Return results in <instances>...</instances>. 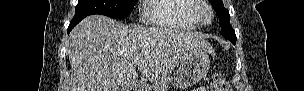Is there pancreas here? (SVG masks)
<instances>
[{"instance_id":"pancreas-1","label":"pancreas","mask_w":304,"mask_h":91,"mask_svg":"<svg viewBox=\"0 0 304 91\" xmlns=\"http://www.w3.org/2000/svg\"><path fill=\"white\" fill-rule=\"evenodd\" d=\"M173 78L166 74L163 76H160L156 81L155 84L153 85V90L154 91H165L167 90L169 84L172 82Z\"/></svg>"}]
</instances>
